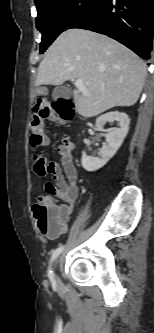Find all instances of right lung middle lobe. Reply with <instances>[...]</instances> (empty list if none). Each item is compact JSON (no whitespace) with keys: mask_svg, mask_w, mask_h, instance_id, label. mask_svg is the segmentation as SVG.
<instances>
[{"mask_svg":"<svg viewBox=\"0 0 154 333\" xmlns=\"http://www.w3.org/2000/svg\"><path fill=\"white\" fill-rule=\"evenodd\" d=\"M101 0H39L36 27L42 33L40 53L63 31L89 15Z\"/></svg>","mask_w":154,"mask_h":333,"instance_id":"1","label":"right lung middle lobe"}]
</instances>
